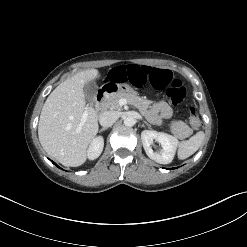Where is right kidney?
<instances>
[{
    "instance_id": "ca27d5eb",
    "label": "right kidney",
    "mask_w": 247,
    "mask_h": 247,
    "mask_svg": "<svg viewBox=\"0 0 247 247\" xmlns=\"http://www.w3.org/2000/svg\"><path fill=\"white\" fill-rule=\"evenodd\" d=\"M103 147H104L103 137L98 136V137L94 138L93 141L91 142L88 150H87V157L90 160H94V159L98 158L103 151Z\"/></svg>"
}]
</instances>
